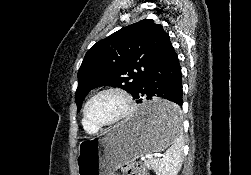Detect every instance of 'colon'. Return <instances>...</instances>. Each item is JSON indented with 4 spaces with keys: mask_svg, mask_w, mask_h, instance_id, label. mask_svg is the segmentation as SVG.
Masks as SVG:
<instances>
[{
    "mask_svg": "<svg viewBox=\"0 0 251 175\" xmlns=\"http://www.w3.org/2000/svg\"><path fill=\"white\" fill-rule=\"evenodd\" d=\"M123 175H147V170L143 163L137 160L126 162L121 168Z\"/></svg>",
    "mask_w": 251,
    "mask_h": 175,
    "instance_id": "colon-1",
    "label": "colon"
}]
</instances>
